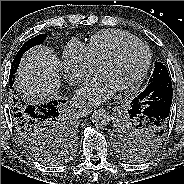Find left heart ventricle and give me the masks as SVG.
<instances>
[{"instance_id":"obj_1","label":"left heart ventricle","mask_w":184,"mask_h":184,"mask_svg":"<svg viewBox=\"0 0 184 184\" xmlns=\"http://www.w3.org/2000/svg\"><path fill=\"white\" fill-rule=\"evenodd\" d=\"M146 58L147 53L143 47L132 46L115 61L105 65L100 72L106 75L118 89L129 84L139 75Z\"/></svg>"}]
</instances>
